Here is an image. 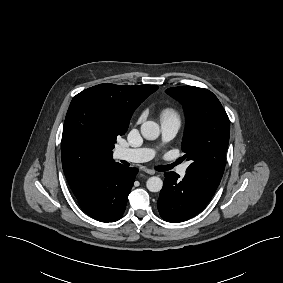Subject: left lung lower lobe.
I'll use <instances>...</instances> for the list:
<instances>
[{
    "instance_id": "0a47b994",
    "label": "left lung lower lobe",
    "mask_w": 283,
    "mask_h": 283,
    "mask_svg": "<svg viewBox=\"0 0 283 283\" xmlns=\"http://www.w3.org/2000/svg\"><path fill=\"white\" fill-rule=\"evenodd\" d=\"M164 175L157 207L161 217L168 222H183L195 216L214 195L188 175L183 179L175 172H166Z\"/></svg>"
}]
</instances>
